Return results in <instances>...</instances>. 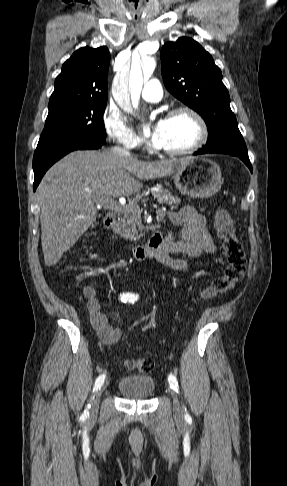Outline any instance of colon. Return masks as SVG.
Wrapping results in <instances>:
<instances>
[{
	"label": "colon",
	"instance_id": "colon-1",
	"mask_svg": "<svg viewBox=\"0 0 287 486\" xmlns=\"http://www.w3.org/2000/svg\"><path fill=\"white\" fill-rule=\"evenodd\" d=\"M214 227L222 242L226 265L223 272L216 276L203 291L204 299H212L226 293L242 279L245 271V253L243 245L237 238L232 219L223 210L216 213ZM126 367L140 373H149L154 368L151 358H137L124 361Z\"/></svg>",
	"mask_w": 287,
	"mask_h": 486
}]
</instances>
